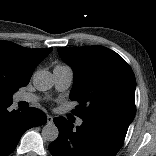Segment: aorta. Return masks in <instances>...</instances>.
<instances>
[{
	"label": "aorta",
	"mask_w": 156,
	"mask_h": 156,
	"mask_svg": "<svg viewBox=\"0 0 156 156\" xmlns=\"http://www.w3.org/2000/svg\"><path fill=\"white\" fill-rule=\"evenodd\" d=\"M33 85L38 91H47L53 86L52 74L48 71L41 70L33 74ZM44 140L53 142L58 138L59 130L54 123H47L42 129Z\"/></svg>",
	"instance_id": "762f6f07"
}]
</instances>
